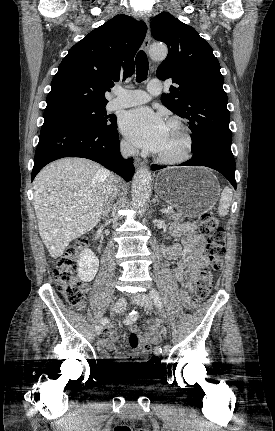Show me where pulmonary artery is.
I'll use <instances>...</instances> for the list:
<instances>
[{
  "instance_id": "e3ab8cb5",
  "label": "pulmonary artery",
  "mask_w": 275,
  "mask_h": 431,
  "mask_svg": "<svg viewBox=\"0 0 275 431\" xmlns=\"http://www.w3.org/2000/svg\"><path fill=\"white\" fill-rule=\"evenodd\" d=\"M162 89L159 80H151L147 85V91L143 90H125L118 88L115 90L116 97L108 104L110 110L127 108L148 102L153 96L160 94Z\"/></svg>"
}]
</instances>
